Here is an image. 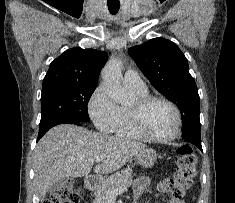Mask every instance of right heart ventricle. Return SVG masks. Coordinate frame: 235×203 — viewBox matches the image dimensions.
I'll use <instances>...</instances> for the list:
<instances>
[{
	"label": "right heart ventricle",
	"mask_w": 235,
	"mask_h": 203,
	"mask_svg": "<svg viewBox=\"0 0 235 203\" xmlns=\"http://www.w3.org/2000/svg\"><path fill=\"white\" fill-rule=\"evenodd\" d=\"M134 90L138 96H143L147 95V90L145 91H140L131 88ZM115 136L120 137V138H130V139H140L141 137L134 131L132 128L129 117H128V112H127V107L126 106H119V117L118 120L114 126V128L111 131Z\"/></svg>",
	"instance_id": "obj_1"
}]
</instances>
